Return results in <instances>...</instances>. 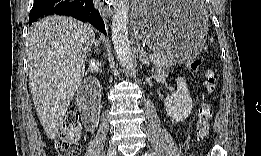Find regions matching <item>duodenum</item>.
<instances>
[{"label": "duodenum", "mask_w": 261, "mask_h": 156, "mask_svg": "<svg viewBox=\"0 0 261 156\" xmlns=\"http://www.w3.org/2000/svg\"><path fill=\"white\" fill-rule=\"evenodd\" d=\"M78 105L85 120L94 124L98 121L100 108V92L95 81L89 80L78 93Z\"/></svg>", "instance_id": "obj_1"}]
</instances>
